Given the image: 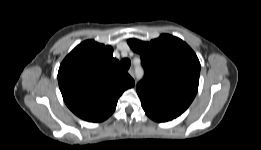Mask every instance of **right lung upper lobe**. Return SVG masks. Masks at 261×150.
Returning a JSON list of instances; mask_svg holds the SVG:
<instances>
[{
	"mask_svg": "<svg viewBox=\"0 0 261 150\" xmlns=\"http://www.w3.org/2000/svg\"><path fill=\"white\" fill-rule=\"evenodd\" d=\"M112 54L111 46L87 40L75 47L60 65L58 82L64 102L84 120L107 119L118 98L135 84Z\"/></svg>",
	"mask_w": 261,
	"mask_h": 150,
	"instance_id": "right-lung-upper-lobe-1",
	"label": "right lung upper lobe"
}]
</instances>
